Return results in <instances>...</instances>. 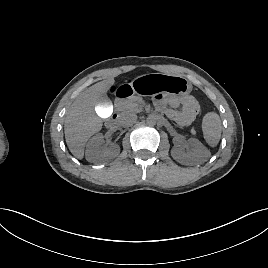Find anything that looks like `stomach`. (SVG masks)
<instances>
[{
  "label": "stomach",
  "mask_w": 268,
  "mask_h": 268,
  "mask_svg": "<svg viewBox=\"0 0 268 268\" xmlns=\"http://www.w3.org/2000/svg\"><path fill=\"white\" fill-rule=\"evenodd\" d=\"M129 85L132 92L139 96L155 95L157 93L185 95L192 91V84L185 77L164 73L140 75L132 80Z\"/></svg>",
  "instance_id": "0dacf381"
}]
</instances>
